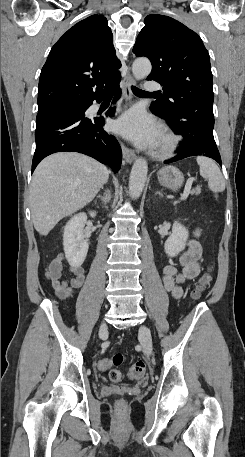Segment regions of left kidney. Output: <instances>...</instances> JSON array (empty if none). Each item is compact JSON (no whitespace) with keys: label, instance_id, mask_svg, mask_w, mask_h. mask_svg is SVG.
<instances>
[{"label":"left kidney","instance_id":"5707ae66","mask_svg":"<svg viewBox=\"0 0 245 457\" xmlns=\"http://www.w3.org/2000/svg\"><path fill=\"white\" fill-rule=\"evenodd\" d=\"M189 237L188 229L181 222L175 220L172 226V233L165 241L164 249L168 257H177L186 247V241Z\"/></svg>","mask_w":245,"mask_h":457}]
</instances>
